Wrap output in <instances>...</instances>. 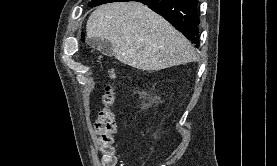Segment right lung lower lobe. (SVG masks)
Listing matches in <instances>:
<instances>
[{
  "label": "right lung lower lobe",
  "mask_w": 277,
  "mask_h": 166,
  "mask_svg": "<svg viewBox=\"0 0 277 166\" xmlns=\"http://www.w3.org/2000/svg\"><path fill=\"white\" fill-rule=\"evenodd\" d=\"M127 1H137L147 5L165 17L192 43L199 46L197 0H112V2Z\"/></svg>",
  "instance_id": "1"
}]
</instances>
